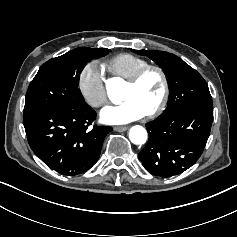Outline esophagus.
<instances>
[{"label": "esophagus", "mask_w": 237, "mask_h": 237, "mask_svg": "<svg viewBox=\"0 0 237 237\" xmlns=\"http://www.w3.org/2000/svg\"><path fill=\"white\" fill-rule=\"evenodd\" d=\"M127 129H128V126H115V127H113V130L117 131V132H123V131H126Z\"/></svg>", "instance_id": "obj_1"}]
</instances>
